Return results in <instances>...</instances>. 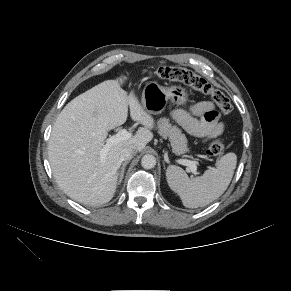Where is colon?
<instances>
[{"label": "colon", "instance_id": "1", "mask_svg": "<svg viewBox=\"0 0 291 291\" xmlns=\"http://www.w3.org/2000/svg\"><path fill=\"white\" fill-rule=\"evenodd\" d=\"M153 74L162 80L183 83L209 96L224 115H228L232 111L231 102L222 91L212 86L205 78L190 70L181 67L163 66L156 69ZM224 148L221 140H214L209 145L207 153L210 156H219L224 152Z\"/></svg>", "mask_w": 291, "mask_h": 291}]
</instances>
